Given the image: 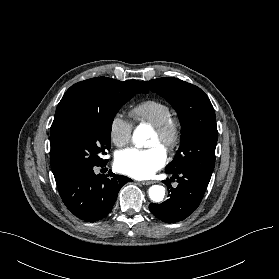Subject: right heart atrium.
<instances>
[{
  "mask_svg": "<svg viewBox=\"0 0 279 279\" xmlns=\"http://www.w3.org/2000/svg\"><path fill=\"white\" fill-rule=\"evenodd\" d=\"M132 128V122L122 113L114 114L108 128L111 142L118 147L126 145L130 141Z\"/></svg>",
  "mask_w": 279,
  "mask_h": 279,
  "instance_id": "right-heart-atrium-1",
  "label": "right heart atrium"
}]
</instances>
